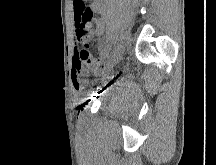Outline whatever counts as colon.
Masks as SVG:
<instances>
[{
    "label": "colon",
    "mask_w": 216,
    "mask_h": 165,
    "mask_svg": "<svg viewBox=\"0 0 216 165\" xmlns=\"http://www.w3.org/2000/svg\"><path fill=\"white\" fill-rule=\"evenodd\" d=\"M92 17V13H83L84 20H88ZM93 33L81 28L80 32L78 34L80 41H87L92 37ZM81 66H86L90 70L94 72H99L103 70V64L95 57L88 49V45L85 44L82 48H79L75 53V59H74V67H75V75L79 74V70Z\"/></svg>",
    "instance_id": "1"
}]
</instances>
